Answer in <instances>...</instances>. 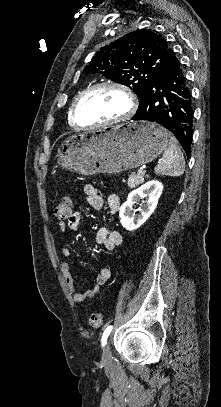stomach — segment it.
Wrapping results in <instances>:
<instances>
[{
  "instance_id": "0dacf381",
  "label": "stomach",
  "mask_w": 221,
  "mask_h": 407,
  "mask_svg": "<svg viewBox=\"0 0 221 407\" xmlns=\"http://www.w3.org/2000/svg\"><path fill=\"white\" fill-rule=\"evenodd\" d=\"M169 133L148 121H131L94 132L67 137L59 146L62 169L82 175L116 174L135 169L158 157Z\"/></svg>"
}]
</instances>
